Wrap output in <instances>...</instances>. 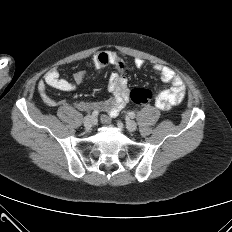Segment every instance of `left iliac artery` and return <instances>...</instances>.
<instances>
[{
  "label": "left iliac artery",
  "instance_id": "1",
  "mask_svg": "<svg viewBox=\"0 0 232 232\" xmlns=\"http://www.w3.org/2000/svg\"><path fill=\"white\" fill-rule=\"evenodd\" d=\"M128 116L133 119V118H135V113L134 112H128Z\"/></svg>",
  "mask_w": 232,
  "mask_h": 232
}]
</instances>
